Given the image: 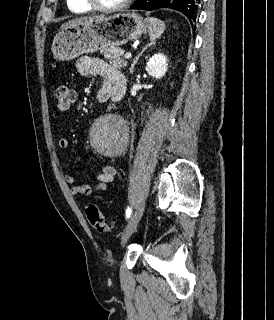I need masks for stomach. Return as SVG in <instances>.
Returning a JSON list of instances; mask_svg holds the SVG:
<instances>
[{
	"label": "stomach",
	"mask_w": 274,
	"mask_h": 320,
	"mask_svg": "<svg viewBox=\"0 0 274 320\" xmlns=\"http://www.w3.org/2000/svg\"><path fill=\"white\" fill-rule=\"evenodd\" d=\"M147 24L139 14H113L102 20H88L67 26L55 36L52 54L55 60L68 62L83 54H93L104 48H118L146 34Z\"/></svg>",
	"instance_id": "0dacf381"
}]
</instances>
